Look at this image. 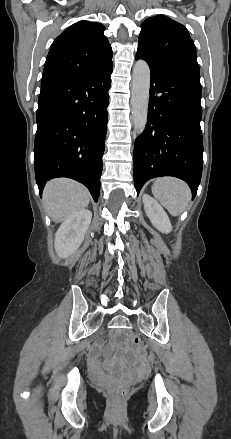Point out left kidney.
Listing matches in <instances>:
<instances>
[{"instance_id": "1", "label": "left kidney", "mask_w": 231, "mask_h": 439, "mask_svg": "<svg viewBox=\"0 0 231 439\" xmlns=\"http://www.w3.org/2000/svg\"><path fill=\"white\" fill-rule=\"evenodd\" d=\"M143 203L145 212L153 226H155L162 233L171 232L172 225L162 206L154 198L147 194L143 195Z\"/></svg>"}]
</instances>
